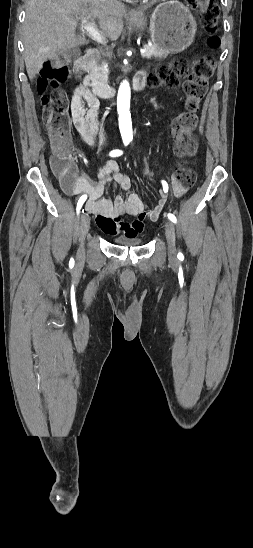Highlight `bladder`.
Masks as SVG:
<instances>
[{
    "label": "bladder",
    "instance_id": "obj_1",
    "mask_svg": "<svg viewBox=\"0 0 253 548\" xmlns=\"http://www.w3.org/2000/svg\"><path fill=\"white\" fill-rule=\"evenodd\" d=\"M115 243L124 246H140L143 239L139 236L120 235L114 238Z\"/></svg>",
    "mask_w": 253,
    "mask_h": 548
}]
</instances>
